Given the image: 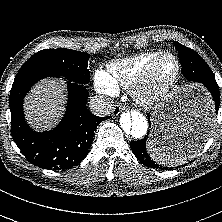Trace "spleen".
<instances>
[{"label": "spleen", "instance_id": "3e777b00", "mask_svg": "<svg viewBox=\"0 0 222 222\" xmlns=\"http://www.w3.org/2000/svg\"><path fill=\"white\" fill-rule=\"evenodd\" d=\"M147 151L157 162L166 166H178L184 164L190 158L191 152H173L169 146H163L154 140L147 141Z\"/></svg>", "mask_w": 222, "mask_h": 222}]
</instances>
